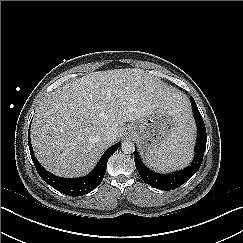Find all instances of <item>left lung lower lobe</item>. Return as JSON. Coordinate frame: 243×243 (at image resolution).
Instances as JSON below:
<instances>
[{
    "label": "left lung lower lobe",
    "mask_w": 243,
    "mask_h": 243,
    "mask_svg": "<svg viewBox=\"0 0 243 243\" xmlns=\"http://www.w3.org/2000/svg\"><path fill=\"white\" fill-rule=\"evenodd\" d=\"M190 100L198 132L194 160L189 167L167 175L155 173L143 164L137 151L135 150L134 152V162L138 173L145 183L154 188L165 191L174 190L187 182L201 166L206 149L207 134L202 116L197 108L195 100L193 97H191Z\"/></svg>",
    "instance_id": "left-lung-lower-lobe-1"
}]
</instances>
